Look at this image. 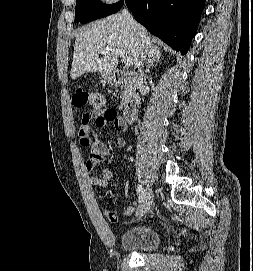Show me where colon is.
Listing matches in <instances>:
<instances>
[{
	"mask_svg": "<svg viewBox=\"0 0 253 271\" xmlns=\"http://www.w3.org/2000/svg\"><path fill=\"white\" fill-rule=\"evenodd\" d=\"M72 102L76 106H91L92 114H103L107 121H117V113L112 109H104L105 99L104 96L99 92H87L78 90L72 97Z\"/></svg>",
	"mask_w": 253,
	"mask_h": 271,
	"instance_id": "colon-1",
	"label": "colon"
}]
</instances>
